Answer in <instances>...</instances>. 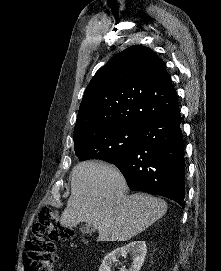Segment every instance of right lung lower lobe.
<instances>
[{
    "label": "right lung lower lobe",
    "mask_w": 221,
    "mask_h": 271,
    "mask_svg": "<svg viewBox=\"0 0 221 271\" xmlns=\"http://www.w3.org/2000/svg\"><path fill=\"white\" fill-rule=\"evenodd\" d=\"M179 109L147 123L137 143L113 162L131 190L161 195L185 207L184 141Z\"/></svg>",
    "instance_id": "1"
}]
</instances>
